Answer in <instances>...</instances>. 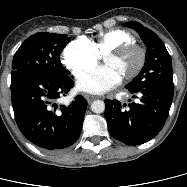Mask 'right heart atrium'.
I'll list each match as a JSON object with an SVG mask.
<instances>
[{
  "instance_id": "d8ad5b80",
  "label": "right heart atrium",
  "mask_w": 187,
  "mask_h": 187,
  "mask_svg": "<svg viewBox=\"0 0 187 187\" xmlns=\"http://www.w3.org/2000/svg\"><path fill=\"white\" fill-rule=\"evenodd\" d=\"M99 56L87 39L70 42L63 51V62L71 74L79 77L98 62Z\"/></svg>"
}]
</instances>
